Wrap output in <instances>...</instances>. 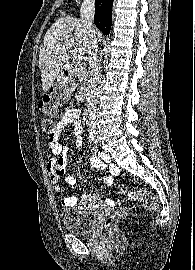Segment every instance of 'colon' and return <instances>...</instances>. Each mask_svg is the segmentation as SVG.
Returning a JSON list of instances; mask_svg holds the SVG:
<instances>
[{
    "mask_svg": "<svg viewBox=\"0 0 195 270\" xmlns=\"http://www.w3.org/2000/svg\"><path fill=\"white\" fill-rule=\"evenodd\" d=\"M68 96L69 88L55 87L52 89V92L46 95L39 103V112L45 117L41 122V128L45 134L49 136L53 134L56 127L54 119L59 113L61 102ZM119 192L122 194H128L134 200L141 201L147 210H156L158 208V202L155 198L147 194H143L138 190L130 189L126 186H120ZM126 214V210H121L108 216L104 221V229H110L119 218Z\"/></svg>",
    "mask_w": 195,
    "mask_h": 270,
    "instance_id": "1",
    "label": "colon"
}]
</instances>
